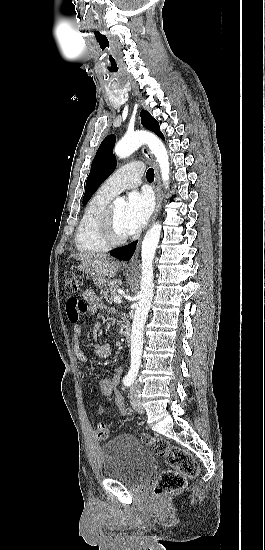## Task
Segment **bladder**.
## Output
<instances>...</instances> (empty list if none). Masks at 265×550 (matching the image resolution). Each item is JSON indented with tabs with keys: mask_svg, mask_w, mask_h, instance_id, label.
<instances>
[{
	"mask_svg": "<svg viewBox=\"0 0 265 550\" xmlns=\"http://www.w3.org/2000/svg\"><path fill=\"white\" fill-rule=\"evenodd\" d=\"M102 472L107 478L140 485L157 468V456L135 435L122 434L101 447Z\"/></svg>",
	"mask_w": 265,
	"mask_h": 550,
	"instance_id": "obj_1",
	"label": "bladder"
}]
</instances>
